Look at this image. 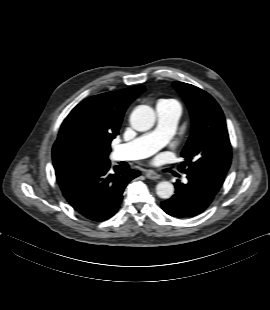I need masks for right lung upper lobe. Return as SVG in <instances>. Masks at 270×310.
<instances>
[{"label":"right lung upper lobe","mask_w":270,"mask_h":310,"mask_svg":"<svg viewBox=\"0 0 270 310\" xmlns=\"http://www.w3.org/2000/svg\"><path fill=\"white\" fill-rule=\"evenodd\" d=\"M144 90L133 86L79 103L64 119L53 145L55 170L109 162L110 143L118 135L124 112Z\"/></svg>","instance_id":"right-lung-upper-lobe-1"}]
</instances>
